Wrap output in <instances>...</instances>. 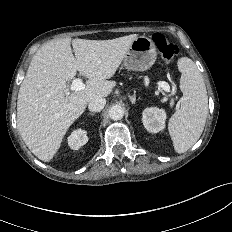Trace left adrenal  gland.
<instances>
[{"mask_svg": "<svg viewBox=\"0 0 232 232\" xmlns=\"http://www.w3.org/2000/svg\"><path fill=\"white\" fill-rule=\"evenodd\" d=\"M129 99L132 102V104H135V102H136V95L134 94L132 96H129Z\"/></svg>", "mask_w": 232, "mask_h": 232, "instance_id": "1", "label": "left adrenal gland"}]
</instances>
